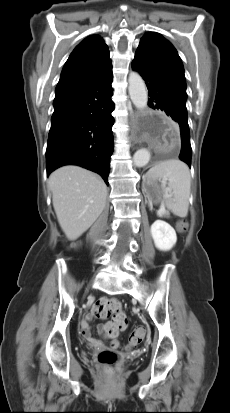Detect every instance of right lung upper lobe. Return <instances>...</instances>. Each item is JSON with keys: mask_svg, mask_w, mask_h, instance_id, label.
<instances>
[{"mask_svg": "<svg viewBox=\"0 0 230 413\" xmlns=\"http://www.w3.org/2000/svg\"><path fill=\"white\" fill-rule=\"evenodd\" d=\"M112 73L107 45L98 35L85 38L66 61L55 93L78 89Z\"/></svg>", "mask_w": 230, "mask_h": 413, "instance_id": "1", "label": "right lung upper lobe"}]
</instances>
